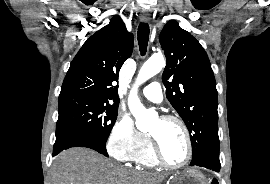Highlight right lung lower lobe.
I'll return each instance as SVG.
<instances>
[{"mask_svg":"<svg viewBox=\"0 0 270 184\" xmlns=\"http://www.w3.org/2000/svg\"><path fill=\"white\" fill-rule=\"evenodd\" d=\"M72 147L90 148L108 157L105 143L87 133L77 131L56 133L53 156Z\"/></svg>","mask_w":270,"mask_h":184,"instance_id":"right-lung-lower-lobe-1","label":"right lung lower lobe"}]
</instances>
